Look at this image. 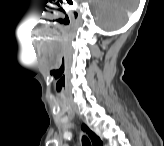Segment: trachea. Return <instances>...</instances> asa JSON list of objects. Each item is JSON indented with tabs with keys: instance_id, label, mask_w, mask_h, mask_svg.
Instances as JSON below:
<instances>
[{
	"instance_id": "obj_1",
	"label": "trachea",
	"mask_w": 164,
	"mask_h": 146,
	"mask_svg": "<svg viewBox=\"0 0 164 146\" xmlns=\"http://www.w3.org/2000/svg\"><path fill=\"white\" fill-rule=\"evenodd\" d=\"M82 145L83 146H91L89 139L85 136L82 138Z\"/></svg>"
}]
</instances>
